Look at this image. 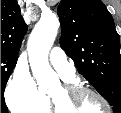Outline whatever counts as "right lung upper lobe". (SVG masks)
<instances>
[{
    "label": "right lung upper lobe",
    "mask_w": 121,
    "mask_h": 113,
    "mask_svg": "<svg viewBox=\"0 0 121 113\" xmlns=\"http://www.w3.org/2000/svg\"><path fill=\"white\" fill-rule=\"evenodd\" d=\"M27 26L16 0H1V53L18 57Z\"/></svg>",
    "instance_id": "cb5924a9"
}]
</instances>
